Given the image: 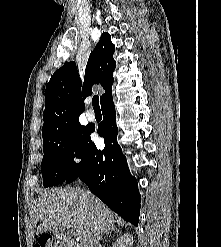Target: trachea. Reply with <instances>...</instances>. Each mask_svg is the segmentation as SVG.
Masks as SVG:
<instances>
[{"instance_id": "1", "label": "trachea", "mask_w": 221, "mask_h": 247, "mask_svg": "<svg viewBox=\"0 0 221 247\" xmlns=\"http://www.w3.org/2000/svg\"><path fill=\"white\" fill-rule=\"evenodd\" d=\"M92 105L94 107V110H100V106H99V97L98 96H94L92 98Z\"/></svg>"}]
</instances>
